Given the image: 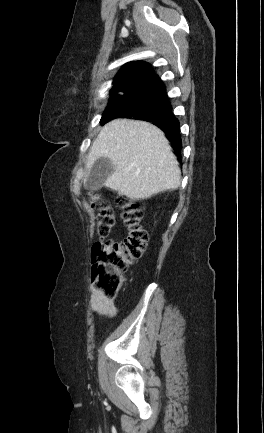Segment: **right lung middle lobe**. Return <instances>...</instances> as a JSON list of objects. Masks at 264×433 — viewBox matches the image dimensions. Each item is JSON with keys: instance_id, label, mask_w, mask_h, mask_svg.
Listing matches in <instances>:
<instances>
[{"instance_id": "right-lung-middle-lobe-1", "label": "right lung middle lobe", "mask_w": 264, "mask_h": 433, "mask_svg": "<svg viewBox=\"0 0 264 433\" xmlns=\"http://www.w3.org/2000/svg\"><path fill=\"white\" fill-rule=\"evenodd\" d=\"M141 89L129 90L117 97H111L100 123L103 125L111 119L125 117L130 114L133 110L132 104L137 102Z\"/></svg>"}]
</instances>
